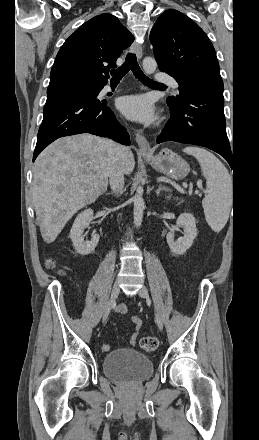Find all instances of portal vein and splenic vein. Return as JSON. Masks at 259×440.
<instances>
[{
    "label": "portal vein and splenic vein",
    "mask_w": 259,
    "mask_h": 440,
    "mask_svg": "<svg viewBox=\"0 0 259 440\" xmlns=\"http://www.w3.org/2000/svg\"><path fill=\"white\" fill-rule=\"evenodd\" d=\"M198 183H199V184H201V181H200V182H198ZM203 192H204V193H207L208 191H207V190H203Z\"/></svg>",
    "instance_id": "obj_1"
}]
</instances>
